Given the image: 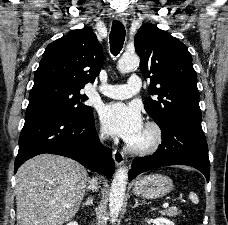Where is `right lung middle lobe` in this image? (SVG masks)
Returning <instances> with one entry per match:
<instances>
[{
    "instance_id": "dd1d6c3e",
    "label": "right lung middle lobe",
    "mask_w": 228,
    "mask_h": 225,
    "mask_svg": "<svg viewBox=\"0 0 228 225\" xmlns=\"http://www.w3.org/2000/svg\"><path fill=\"white\" fill-rule=\"evenodd\" d=\"M81 89L61 82L35 84L30 91L26 113L55 108L75 115H88L92 113V107L82 103L88 98L80 93Z\"/></svg>"
}]
</instances>
